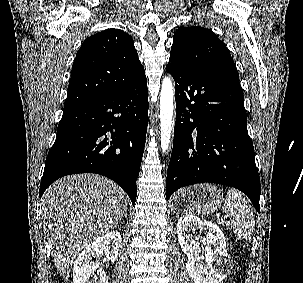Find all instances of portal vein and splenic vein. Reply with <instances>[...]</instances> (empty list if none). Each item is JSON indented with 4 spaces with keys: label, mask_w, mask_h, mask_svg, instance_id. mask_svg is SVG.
Wrapping results in <instances>:
<instances>
[{
    "label": "portal vein and splenic vein",
    "mask_w": 303,
    "mask_h": 283,
    "mask_svg": "<svg viewBox=\"0 0 303 283\" xmlns=\"http://www.w3.org/2000/svg\"><path fill=\"white\" fill-rule=\"evenodd\" d=\"M219 222L220 223H224V222H226L225 220H223V219H221V220H219Z\"/></svg>",
    "instance_id": "1"
}]
</instances>
